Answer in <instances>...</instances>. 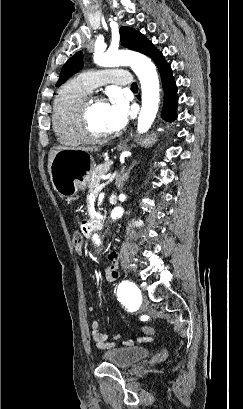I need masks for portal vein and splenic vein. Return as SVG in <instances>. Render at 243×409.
<instances>
[{
  "instance_id": "1",
  "label": "portal vein and splenic vein",
  "mask_w": 243,
  "mask_h": 409,
  "mask_svg": "<svg viewBox=\"0 0 243 409\" xmlns=\"http://www.w3.org/2000/svg\"><path fill=\"white\" fill-rule=\"evenodd\" d=\"M117 175V172L113 173L112 175L108 176V180L100 185H97L94 189L93 194H98L106 185H108L110 182L113 181L115 176Z\"/></svg>"
}]
</instances>
